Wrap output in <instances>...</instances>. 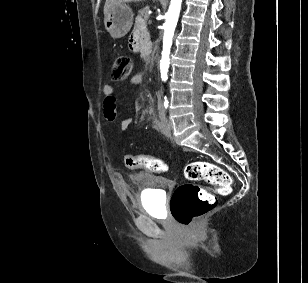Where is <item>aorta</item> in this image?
Listing matches in <instances>:
<instances>
[{
	"label": "aorta",
	"mask_w": 308,
	"mask_h": 283,
	"mask_svg": "<svg viewBox=\"0 0 308 283\" xmlns=\"http://www.w3.org/2000/svg\"><path fill=\"white\" fill-rule=\"evenodd\" d=\"M181 4L182 0H171L168 12L166 14V22L164 24L163 51L160 61V73L163 81H166L168 78L170 49L181 10Z\"/></svg>",
	"instance_id": "aorta-1"
}]
</instances>
